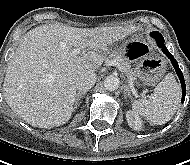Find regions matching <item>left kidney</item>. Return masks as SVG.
Wrapping results in <instances>:
<instances>
[{"mask_svg":"<svg viewBox=\"0 0 190 165\" xmlns=\"http://www.w3.org/2000/svg\"><path fill=\"white\" fill-rule=\"evenodd\" d=\"M126 119L131 128L138 131L142 130L143 123L138 114L133 111H128L126 113Z\"/></svg>","mask_w":190,"mask_h":165,"instance_id":"5707ae66","label":"left kidney"}]
</instances>
